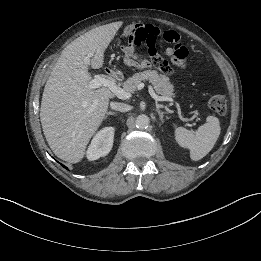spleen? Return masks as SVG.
Masks as SVG:
<instances>
[{"mask_svg": "<svg viewBox=\"0 0 261 261\" xmlns=\"http://www.w3.org/2000/svg\"><path fill=\"white\" fill-rule=\"evenodd\" d=\"M221 127L217 117L214 115L206 118V123L198 128L196 133L184 127L175 129V139L177 143L190 150V158L198 161L205 157L214 147Z\"/></svg>", "mask_w": 261, "mask_h": 261, "instance_id": "obj_1", "label": "spleen"}]
</instances>
